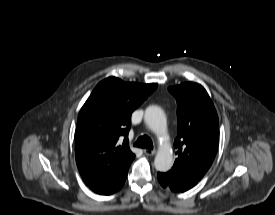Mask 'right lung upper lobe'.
<instances>
[{
  "label": "right lung upper lobe",
  "instance_id": "cb5924a9",
  "mask_svg": "<svg viewBox=\"0 0 275 215\" xmlns=\"http://www.w3.org/2000/svg\"><path fill=\"white\" fill-rule=\"evenodd\" d=\"M156 88L157 84L116 77L95 87L80 110L75 131L76 163L87 185L129 169L135 158L128 145L131 114Z\"/></svg>",
  "mask_w": 275,
  "mask_h": 215
}]
</instances>
